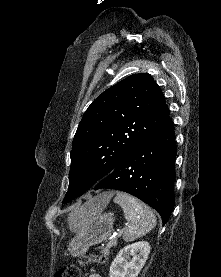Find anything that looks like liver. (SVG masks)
Listing matches in <instances>:
<instances>
[{
	"instance_id": "obj_1",
	"label": "liver",
	"mask_w": 221,
	"mask_h": 277,
	"mask_svg": "<svg viewBox=\"0 0 221 277\" xmlns=\"http://www.w3.org/2000/svg\"><path fill=\"white\" fill-rule=\"evenodd\" d=\"M113 195H114V193H112V192L103 193V194H101V195L95 197L94 200H95L97 203H99V204L105 206V205H107V204L109 203V201H110V199L112 198ZM73 213H74V212H73ZM73 213H71V214L69 215V218L73 215Z\"/></svg>"
}]
</instances>
